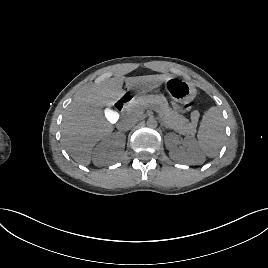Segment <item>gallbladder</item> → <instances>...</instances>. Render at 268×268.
<instances>
[{"label": "gallbladder", "instance_id": "1", "mask_svg": "<svg viewBox=\"0 0 268 268\" xmlns=\"http://www.w3.org/2000/svg\"><path fill=\"white\" fill-rule=\"evenodd\" d=\"M102 114L110 124H118L121 121V114L111 105L104 107Z\"/></svg>", "mask_w": 268, "mask_h": 268}]
</instances>
